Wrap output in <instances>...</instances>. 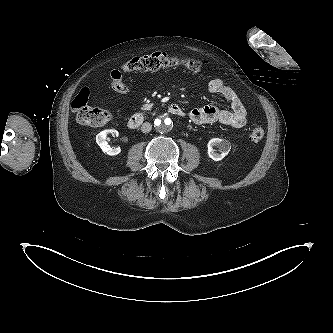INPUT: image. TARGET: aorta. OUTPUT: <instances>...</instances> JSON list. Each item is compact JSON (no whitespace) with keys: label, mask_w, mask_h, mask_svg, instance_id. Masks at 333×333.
<instances>
[{"label":"aorta","mask_w":333,"mask_h":333,"mask_svg":"<svg viewBox=\"0 0 333 333\" xmlns=\"http://www.w3.org/2000/svg\"><path fill=\"white\" fill-rule=\"evenodd\" d=\"M155 128L159 133H166L171 129V120L167 117L159 118L155 121Z\"/></svg>","instance_id":"1"}]
</instances>
